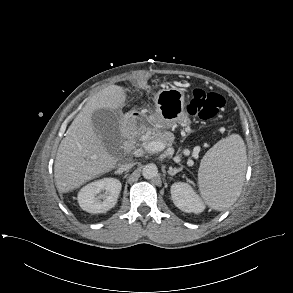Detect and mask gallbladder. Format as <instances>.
Here are the masks:
<instances>
[{
    "label": "gallbladder",
    "mask_w": 293,
    "mask_h": 293,
    "mask_svg": "<svg viewBox=\"0 0 293 293\" xmlns=\"http://www.w3.org/2000/svg\"><path fill=\"white\" fill-rule=\"evenodd\" d=\"M92 124L95 132L101 137L106 146L119 139L118 116L114 111L107 108L94 111Z\"/></svg>",
    "instance_id": "1"
}]
</instances>
